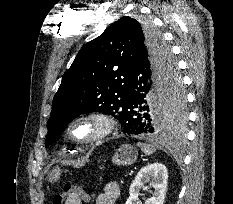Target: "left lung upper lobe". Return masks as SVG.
Masks as SVG:
<instances>
[{
	"label": "left lung upper lobe",
	"mask_w": 233,
	"mask_h": 204,
	"mask_svg": "<svg viewBox=\"0 0 233 204\" xmlns=\"http://www.w3.org/2000/svg\"><path fill=\"white\" fill-rule=\"evenodd\" d=\"M141 48L167 89L160 131L178 127L186 119L182 81L169 83L176 67L170 48L148 24L123 16L102 35L82 47L62 77L52 102L45 146H49L78 115L102 112L121 123L122 106L129 95L130 71Z\"/></svg>",
	"instance_id": "5c2ea615"
}]
</instances>
